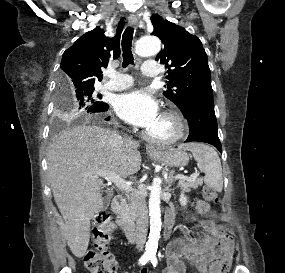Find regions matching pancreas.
<instances>
[{
	"mask_svg": "<svg viewBox=\"0 0 285 273\" xmlns=\"http://www.w3.org/2000/svg\"><path fill=\"white\" fill-rule=\"evenodd\" d=\"M203 184L202 178H196L194 180H185L181 179L178 183V187L183 192H190L191 189H196L198 186ZM130 213H135V206H134V194H130V204H129Z\"/></svg>",
	"mask_w": 285,
	"mask_h": 273,
	"instance_id": "1",
	"label": "pancreas"
}]
</instances>
